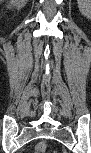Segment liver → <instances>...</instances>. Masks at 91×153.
Returning a JSON list of instances; mask_svg holds the SVG:
<instances>
[{
	"instance_id": "liver-1",
	"label": "liver",
	"mask_w": 91,
	"mask_h": 153,
	"mask_svg": "<svg viewBox=\"0 0 91 153\" xmlns=\"http://www.w3.org/2000/svg\"><path fill=\"white\" fill-rule=\"evenodd\" d=\"M19 3L23 6L25 4L24 0H19Z\"/></svg>"
}]
</instances>
